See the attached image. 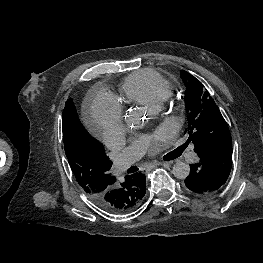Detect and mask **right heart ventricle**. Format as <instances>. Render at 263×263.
I'll use <instances>...</instances> for the list:
<instances>
[{
  "mask_svg": "<svg viewBox=\"0 0 263 263\" xmlns=\"http://www.w3.org/2000/svg\"><path fill=\"white\" fill-rule=\"evenodd\" d=\"M121 92L130 102L155 108L171 94L172 87L157 71L143 69L129 74L124 79Z\"/></svg>",
  "mask_w": 263,
  "mask_h": 263,
  "instance_id": "1",
  "label": "right heart ventricle"
}]
</instances>
